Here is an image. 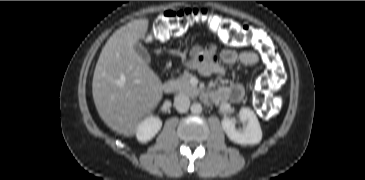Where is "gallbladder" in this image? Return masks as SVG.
I'll list each match as a JSON object with an SVG mask.
<instances>
[{
	"mask_svg": "<svg viewBox=\"0 0 365 180\" xmlns=\"http://www.w3.org/2000/svg\"><path fill=\"white\" fill-rule=\"evenodd\" d=\"M134 50L137 53V55L147 64L151 62V57L148 53V51L139 43H136L134 45Z\"/></svg>",
	"mask_w": 365,
	"mask_h": 180,
	"instance_id": "obj_1",
	"label": "gallbladder"
}]
</instances>
